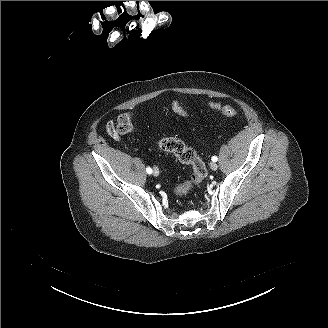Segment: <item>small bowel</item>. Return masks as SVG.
<instances>
[{"label": "small bowel", "instance_id": "c3829d8e", "mask_svg": "<svg viewBox=\"0 0 328 328\" xmlns=\"http://www.w3.org/2000/svg\"><path fill=\"white\" fill-rule=\"evenodd\" d=\"M112 125V123L110 122V123H108V125H107V129L110 127Z\"/></svg>", "mask_w": 328, "mask_h": 328}]
</instances>
